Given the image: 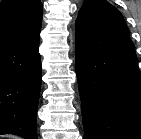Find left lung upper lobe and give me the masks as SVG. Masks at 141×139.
I'll return each instance as SVG.
<instances>
[{"label": "left lung upper lobe", "instance_id": "left-lung-upper-lobe-1", "mask_svg": "<svg viewBox=\"0 0 141 139\" xmlns=\"http://www.w3.org/2000/svg\"><path fill=\"white\" fill-rule=\"evenodd\" d=\"M76 22L102 33L129 38L123 16L106 0H85Z\"/></svg>", "mask_w": 141, "mask_h": 139}]
</instances>
